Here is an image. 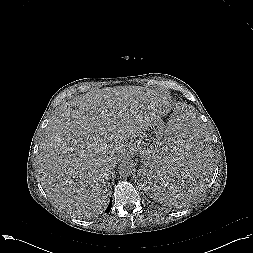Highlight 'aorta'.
I'll return each mask as SVG.
<instances>
[{"label": "aorta", "instance_id": "obj_1", "mask_svg": "<svg viewBox=\"0 0 253 253\" xmlns=\"http://www.w3.org/2000/svg\"><path fill=\"white\" fill-rule=\"evenodd\" d=\"M135 171V166L131 161H122L118 166V172L122 177H128Z\"/></svg>", "mask_w": 253, "mask_h": 253}]
</instances>
